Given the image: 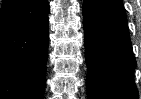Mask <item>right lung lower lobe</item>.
Returning <instances> with one entry per match:
<instances>
[{
	"mask_svg": "<svg viewBox=\"0 0 141 99\" xmlns=\"http://www.w3.org/2000/svg\"><path fill=\"white\" fill-rule=\"evenodd\" d=\"M49 5L4 0L0 10V99H43Z\"/></svg>",
	"mask_w": 141,
	"mask_h": 99,
	"instance_id": "right-lung-lower-lobe-1",
	"label": "right lung lower lobe"
}]
</instances>
